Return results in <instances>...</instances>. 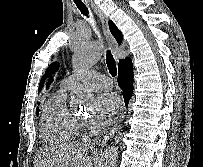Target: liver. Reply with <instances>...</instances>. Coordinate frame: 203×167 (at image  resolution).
Returning <instances> with one entry per match:
<instances>
[{"mask_svg": "<svg viewBox=\"0 0 203 167\" xmlns=\"http://www.w3.org/2000/svg\"><path fill=\"white\" fill-rule=\"evenodd\" d=\"M86 144H64L41 149L35 167H92Z\"/></svg>", "mask_w": 203, "mask_h": 167, "instance_id": "6515ba94", "label": "liver"}]
</instances>
